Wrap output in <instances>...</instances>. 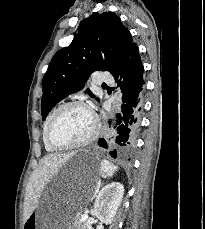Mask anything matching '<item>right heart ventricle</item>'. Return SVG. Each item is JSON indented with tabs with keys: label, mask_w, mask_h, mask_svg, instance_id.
<instances>
[{
	"label": "right heart ventricle",
	"mask_w": 205,
	"mask_h": 229,
	"mask_svg": "<svg viewBox=\"0 0 205 229\" xmlns=\"http://www.w3.org/2000/svg\"><path fill=\"white\" fill-rule=\"evenodd\" d=\"M58 107H55L53 108L50 113L48 114L47 118L45 119L44 123H43V127H42V140H43V143H44V147L46 149V151L48 152H53L55 151V149H53L51 146H49V144L47 143V140H46V131H47V127H48V124L54 114V112L57 110Z\"/></svg>",
	"instance_id": "1"
}]
</instances>
